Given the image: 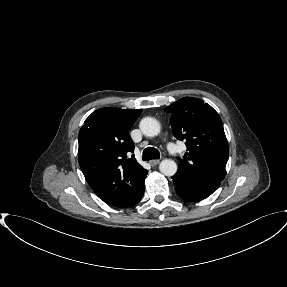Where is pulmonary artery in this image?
I'll return each mask as SVG.
<instances>
[{
	"label": "pulmonary artery",
	"instance_id": "obj_1",
	"mask_svg": "<svg viewBox=\"0 0 287 287\" xmlns=\"http://www.w3.org/2000/svg\"><path fill=\"white\" fill-rule=\"evenodd\" d=\"M167 148H168V150H169L170 152H172V153H174V154H176V153L179 152L178 149L176 148V146H175L173 143H168V144H167Z\"/></svg>",
	"mask_w": 287,
	"mask_h": 287
}]
</instances>
